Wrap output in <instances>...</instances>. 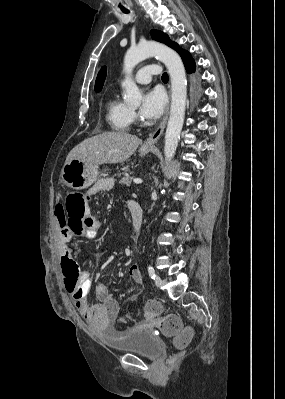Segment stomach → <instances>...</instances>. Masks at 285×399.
<instances>
[{
  "label": "stomach",
  "mask_w": 285,
  "mask_h": 399,
  "mask_svg": "<svg viewBox=\"0 0 285 399\" xmlns=\"http://www.w3.org/2000/svg\"><path fill=\"white\" fill-rule=\"evenodd\" d=\"M149 151H142L145 154ZM98 166L73 159L66 162L61 171V180L64 185L81 190L91 186L98 178Z\"/></svg>",
  "instance_id": "stomach-1"
}]
</instances>
